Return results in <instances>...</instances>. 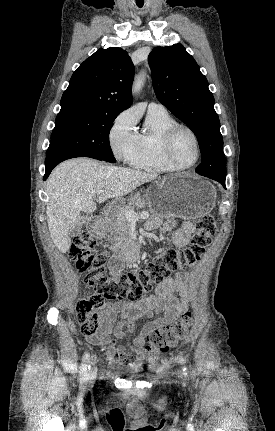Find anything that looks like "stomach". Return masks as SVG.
I'll return each mask as SVG.
<instances>
[{
    "label": "stomach",
    "instance_id": "obj_1",
    "mask_svg": "<svg viewBox=\"0 0 275 431\" xmlns=\"http://www.w3.org/2000/svg\"><path fill=\"white\" fill-rule=\"evenodd\" d=\"M146 196L155 213L190 220L209 214L216 202V191L211 184L187 175L164 177L156 190L148 191Z\"/></svg>",
    "mask_w": 275,
    "mask_h": 431
}]
</instances>
